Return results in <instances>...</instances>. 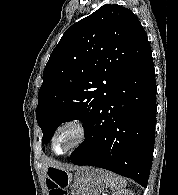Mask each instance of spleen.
Segmentation results:
<instances>
[{"label": "spleen", "mask_w": 178, "mask_h": 195, "mask_svg": "<svg viewBox=\"0 0 178 195\" xmlns=\"http://www.w3.org/2000/svg\"><path fill=\"white\" fill-rule=\"evenodd\" d=\"M99 173L103 176L106 185L112 190H120L127 186L126 180L117 174L102 169H99Z\"/></svg>", "instance_id": "obj_1"}]
</instances>
